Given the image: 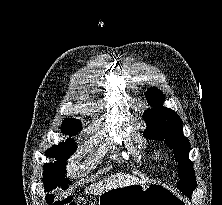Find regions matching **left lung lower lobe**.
Returning <instances> with one entry per match:
<instances>
[{
	"mask_svg": "<svg viewBox=\"0 0 222 205\" xmlns=\"http://www.w3.org/2000/svg\"><path fill=\"white\" fill-rule=\"evenodd\" d=\"M185 195H188L189 197L191 196V194H185Z\"/></svg>",
	"mask_w": 222,
	"mask_h": 205,
	"instance_id": "left-lung-lower-lobe-1",
	"label": "left lung lower lobe"
}]
</instances>
